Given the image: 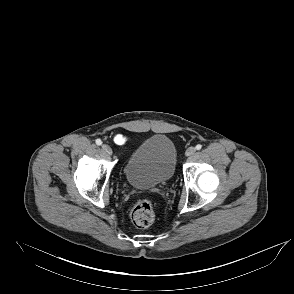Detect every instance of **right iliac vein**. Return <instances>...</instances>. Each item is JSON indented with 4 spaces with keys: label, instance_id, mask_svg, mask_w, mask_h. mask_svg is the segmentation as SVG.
<instances>
[{
    "label": "right iliac vein",
    "instance_id": "63e3f726",
    "mask_svg": "<svg viewBox=\"0 0 294 294\" xmlns=\"http://www.w3.org/2000/svg\"><path fill=\"white\" fill-rule=\"evenodd\" d=\"M102 149H103L108 155H112V150H111V148H110L107 144H103V145H102Z\"/></svg>",
    "mask_w": 294,
    "mask_h": 294
}]
</instances>
